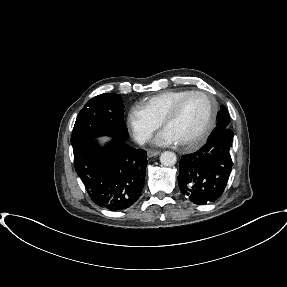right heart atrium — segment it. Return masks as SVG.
<instances>
[{
	"mask_svg": "<svg viewBox=\"0 0 287 287\" xmlns=\"http://www.w3.org/2000/svg\"><path fill=\"white\" fill-rule=\"evenodd\" d=\"M126 122L132 136L141 144L148 143L161 126L139 108L128 112Z\"/></svg>",
	"mask_w": 287,
	"mask_h": 287,
	"instance_id": "right-heart-atrium-1",
	"label": "right heart atrium"
}]
</instances>
